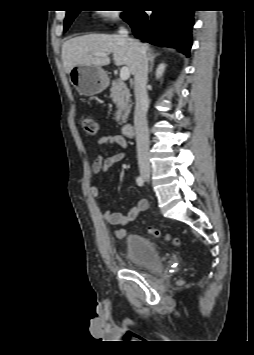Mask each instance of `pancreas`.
I'll return each mask as SVG.
<instances>
[{
    "label": "pancreas",
    "instance_id": "1",
    "mask_svg": "<svg viewBox=\"0 0 254 355\" xmlns=\"http://www.w3.org/2000/svg\"><path fill=\"white\" fill-rule=\"evenodd\" d=\"M110 92V97L116 104L117 108L115 120L118 122V124L122 125L126 123L132 106L130 91L123 81L116 79L112 82Z\"/></svg>",
    "mask_w": 254,
    "mask_h": 355
}]
</instances>
